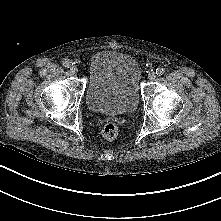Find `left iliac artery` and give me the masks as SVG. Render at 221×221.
Returning a JSON list of instances; mask_svg holds the SVG:
<instances>
[{"mask_svg":"<svg viewBox=\"0 0 221 221\" xmlns=\"http://www.w3.org/2000/svg\"><path fill=\"white\" fill-rule=\"evenodd\" d=\"M155 73L158 76H162L165 73V70L163 68L159 67V68L156 69Z\"/></svg>","mask_w":221,"mask_h":221,"instance_id":"44dca946","label":"left iliac artery"}]
</instances>
